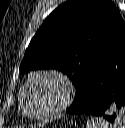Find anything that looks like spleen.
<instances>
[{
  "label": "spleen",
  "instance_id": "3e777b00",
  "mask_svg": "<svg viewBox=\"0 0 125 128\" xmlns=\"http://www.w3.org/2000/svg\"><path fill=\"white\" fill-rule=\"evenodd\" d=\"M86 128H112V126L101 118L90 117L87 120Z\"/></svg>",
  "mask_w": 125,
  "mask_h": 128
}]
</instances>
